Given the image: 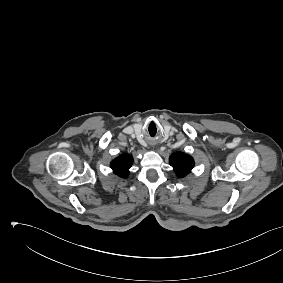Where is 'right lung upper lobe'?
<instances>
[{
    "label": "right lung upper lobe",
    "instance_id": "1",
    "mask_svg": "<svg viewBox=\"0 0 283 283\" xmlns=\"http://www.w3.org/2000/svg\"><path fill=\"white\" fill-rule=\"evenodd\" d=\"M132 165V158L129 154L121 155L111 162V168L114 173L120 177H126L129 174V168Z\"/></svg>",
    "mask_w": 283,
    "mask_h": 283
}]
</instances>
